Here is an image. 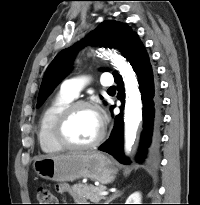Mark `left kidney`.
Wrapping results in <instances>:
<instances>
[{
    "instance_id": "1",
    "label": "left kidney",
    "mask_w": 200,
    "mask_h": 205,
    "mask_svg": "<svg viewBox=\"0 0 200 205\" xmlns=\"http://www.w3.org/2000/svg\"><path fill=\"white\" fill-rule=\"evenodd\" d=\"M125 204H141V193L140 192H134L131 194Z\"/></svg>"
}]
</instances>
